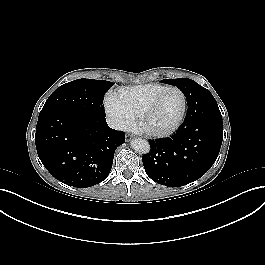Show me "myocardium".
Wrapping results in <instances>:
<instances>
[{"label":"myocardium","instance_id":"obj_1","mask_svg":"<svg viewBox=\"0 0 265 265\" xmlns=\"http://www.w3.org/2000/svg\"><path fill=\"white\" fill-rule=\"evenodd\" d=\"M171 90L179 92L181 94V97H182V110H181V113H180L178 119L168 129H165V130H162V131H155V130L149 129L145 125V120L148 118V116L152 112V110L156 107V105L158 104L160 99L163 97V95L165 93H167L168 91H171ZM187 106H188L187 97H186V94L184 93V91L181 88H179L177 86H167V87H165L162 91H160L150 101V103L146 106V108L142 112V114L140 116V121H139V129H140V131L143 132L145 135H147L149 137H154V138H164V137H168V136L172 135L173 133H175L180 128V126L184 122V119H185V116H186V113H187Z\"/></svg>","mask_w":265,"mask_h":265}]
</instances>
